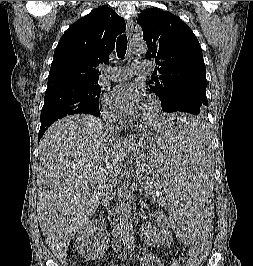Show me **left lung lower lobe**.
<instances>
[{
  "label": "left lung lower lobe",
  "mask_w": 253,
  "mask_h": 266,
  "mask_svg": "<svg viewBox=\"0 0 253 266\" xmlns=\"http://www.w3.org/2000/svg\"><path fill=\"white\" fill-rule=\"evenodd\" d=\"M205 107L206 105L203 103L199 94L193 91H184L177 96L174 106L164 112L181 111L197 115V117L190 119V123L185 126L186 129L192 132L201 130L203 127V120L198 117L205 112Z\"/></svg>",
  "instance_id": "0a47b994"
}]
</instances>
